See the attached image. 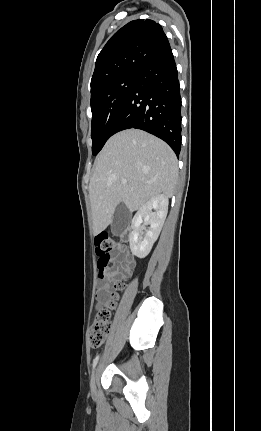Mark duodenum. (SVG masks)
Returning <instances> with one entry per match:
<instances>
[{
  "label": "duodenum",
  "mask_w": 261,
  "mask_h": 431,
  "mask_svg": "<svg viewBox=\"0 0 261 431\" xmlns=\"http://www.w3.org/2000/svg\"><path fill=\"white\" fill-rule=\"evenodd\" d=\"M123 238L124 239H128L129 238V234H124Z\"/></svg>",
  "instance_id": "1"
}]
</instances>
